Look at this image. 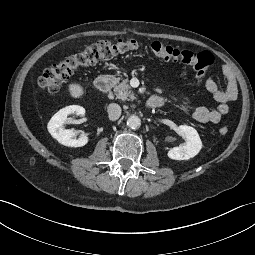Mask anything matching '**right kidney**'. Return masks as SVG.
<instances>
[{"instance_id": "ca27d5eb", "label": "right kidney", "mask_w": 255, "mask_h": 255, "mask_svg": "<svg viewBox=\"0 0 255 255\" xmlns=\"http://www.w3.org/2000/svg\"><path fill=\"white\" fill-rule=\"evenodd\" d=\"M76 113L84 115L85 109L78 105H70L59 110L48 123V131L53 138L60 144L68 147H82L86 145L89 138L85 134H81L78 139L75 138V133L71 129H65L63 124L69 114Z\"/></svg>"}]
</instances>
